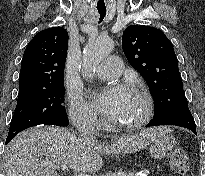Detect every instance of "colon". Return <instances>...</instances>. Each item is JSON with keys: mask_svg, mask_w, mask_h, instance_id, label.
Listing matches in <instances>:
<instances>
[{"mask_svg": "<svg viewBox=\"0 0 205 176\" xmlns=\"http://www.w3.org/2000/svg\"><path fill=\"white\" fill-rule=\"evenodd\" d=\"M169 163L171 169L178 174V176H189V158L185 150L178 148L175 149L170 157Z\"/></svg>", "mask_w": 205, "mask_h": 176, "instance_id": "colon-1", "label": "colon"}]
</instances>
